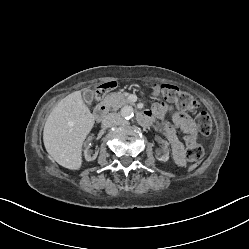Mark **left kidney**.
Here are the masks:
<instances>
[{
  "label": "left kidney",
  "mask_w": 249,
  "mask_h": 249,
  "mask_svg": "<svg viewBox=\"0 0 249 249\" xmlns=\"http://www.w3.org/2000/svg\"><path fill=\"white\" fill-rule=\"evenodd\" d=\"M154 144L156 145L157 150L161 154V157H157V160L162 161V162L168 161L169 156H170V151L166 147L165 140L162 137H156L154 139Z\"/></svg>",
  "instance_id": "obj_1"
}]
</instances>
